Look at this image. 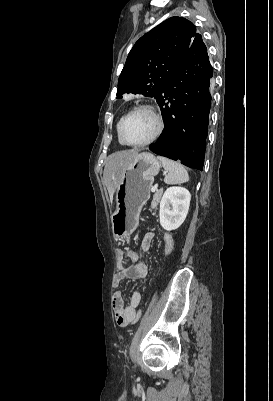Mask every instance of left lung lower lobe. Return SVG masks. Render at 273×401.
Masks as SVG:
<instances>
[{
    "instance_id": "1",
    "label": "left lung lower lobe",
    "mask_w": 273,
    "mask_h": 401,
    "mask_svg": "<svg viewBox=\"0 0 273 401\" xmlns=\"http://www.w3.org/2000/svg\"><path fill=\"white\" fill-rule=\"evenodd\" d=\"M213 68L200 36L190 46L170 81L157 96L165 129L149 149L156 154L203 169L208 134Z\"/></svg>"
}]
</instances>
